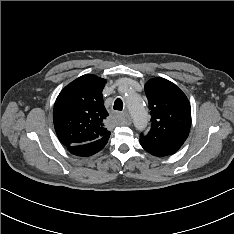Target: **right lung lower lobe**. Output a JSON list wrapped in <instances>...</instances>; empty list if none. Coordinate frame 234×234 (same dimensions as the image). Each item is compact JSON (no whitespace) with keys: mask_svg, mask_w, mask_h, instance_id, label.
<instances>
[{"mask_svg":"<svg viewBox=\"0 0 234 234\" xmlns=\"http://www.w3.org/2000/svg\"><path fill=\"white\" fill-rule=\"evenodd\" d=\"M107 142L108 141L97 140L90 143L70 146L67 147V149L74 155L87 157L99 152L101 149L104 148Z\"/></svg>","mask_w":234,"mask_h":234,"instance_id":"98d812e1","label":"right lung lower lobe"}]
</instances>
